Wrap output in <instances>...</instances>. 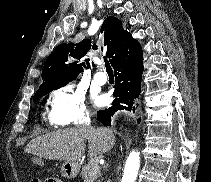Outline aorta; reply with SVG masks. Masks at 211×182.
I'll return each instance as SVG.
<instances>
[{
  "mask_svg": "<svg viewBox=\"0 0 211 182\" xmlns=\"http://www.w3.org/2000/svg\"><path fill=\"white\" fill-rule=\"evenodd\" d=\"M139 167H140L139 152L136 151L130 152L126 160L124 174L121 182H135L138 175Z\"/></svg>",
  "mask_w": 211,
  "mask_h": 182,
  "instance_id": "obj_1",
  "label": "aorta"
}]
</instances>
